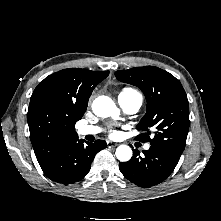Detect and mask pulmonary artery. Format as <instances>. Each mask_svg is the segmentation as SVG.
I'll list each match as a JSON object with an SVG mask.
<instances>
[{"label": "pulmonary artery", "mask_w": 221, "mask_h": 221, "mask_svg": "<svg viewBox=\"0 0 221 221\" xmlns=\"http://www.w3.org/2000/svg\"><path fill=\"white\" fill-rule=\"evenodd\" d=\"M118 103L124 113L131 115L140 109L143 100L138 94L129 95L121 93L118 97ZM77 132L80 136L96 135L101 132V128L99 126L85 125L80 127ZM149 148L150 145L146 144L145 149L148 150Z\"/></svg>", "instance_id": "1"}]
</instances>
